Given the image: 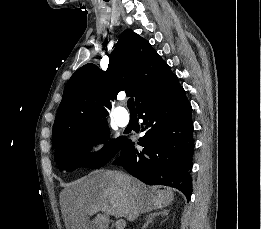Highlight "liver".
<instances>
[{"label":"liver","instance_id":"6515ba94","mask_svg":"<svg viewBox=\"0 0 261 229\" xmlns=\"http://www.w3.org/2000/svg\"><path fill=\"white\" fill-rule=\"evenodd\" d=\"M172 201L173 189L150 193L146 185L129 175L118 171H93L70 183L62 211L67 229H107L105 215H97L93 221H88L87 217L103 211L133 223L139 215L168 207ZM132 203H136V217L132 215Z\"/></svg>","mask_w":261,"mask_h":229}]
</instances>
